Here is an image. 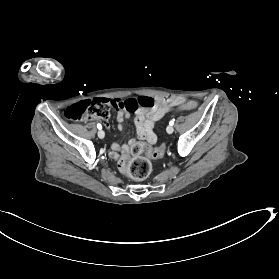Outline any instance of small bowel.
<instances>
[{
	"label": "small bowel",
	"mask_w": 279,
	"mask_h": 279,
	"mask_svg": "<svg viewBox=\"0 0 279 279\" xmlns=\"http://www.w3.org/2000/svg\"><path fill=\"white\" fill-rule=\"evenodd\" d=\"M183 100L179 98H172L167 96H159L156 98V104L152 109L144 110L140 109L136 111L135 114V125L137 130V137L139 140H144L148 142L149 144H154L156 142V135L153 132L154 124L156 121L161 119L172 106L180 105L182 104ZM130 117V113L125 111H119L117 114V121L118 124V130L123 129L122 123L124 120L128 119ZM105 127L107 129L110 128V124L105 121ZM135 143L134 140L130 141L129 144ZM111 153L110 157L113 159H117L118 154L120 152L126 151L128 149V146L125 144H118V143H112L111 145Z\"/></svg>",
	"instance_id": "obj_1"
}]
</instances>
